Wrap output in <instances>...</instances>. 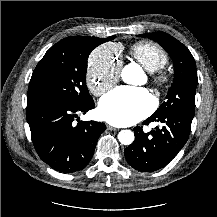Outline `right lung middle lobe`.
I'll use <instances>...</instances> for the list:
<instances>
[{"mask_svg": "<svg viewBox=\"0 0 217 217\" xmlns=\"http://www.w3.org/2000/svg\"><path fill=\"white\" fill-rule=\"evenodd\" d=\"M104 42L97 37L70 36L52 46L32 74L27 105L44 102L83 105L91 101L85 81L87 59Z\"/></svg>", "mask_w": 217, "mask_h": 217, "instance_id": "obj_1", "label": "right lung middle lobe"}]
</instances>
